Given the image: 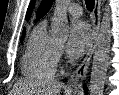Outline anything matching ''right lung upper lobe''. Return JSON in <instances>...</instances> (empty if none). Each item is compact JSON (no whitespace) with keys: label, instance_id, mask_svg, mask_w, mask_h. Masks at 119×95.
Wrapping results in <instances>:
<instances>
[{"label":"right lung upper lobe","instance_id":"1","mask_svg":"<svg viewBox=\"0 0 119 95\" xmlns=\"http://www.w3.org/2000/svg\"><path fill=\"white\" fill-rule=\"evenodd\" d=\"M33 4H34V0L31 1V4H30L29 7H28L26 19H28V18L30 17ZM23 33H25V30L23 31Z\"/></svg>","mask_w":119,"mask_h":95}]
</instances>
